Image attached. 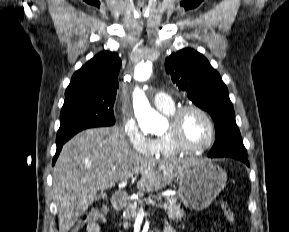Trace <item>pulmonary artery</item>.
<instances>
[{"instance_id":"1","label":"pulmonary artery","mask_w":289,"mask_h":232,"mask_svg":"<svg viewBox=\"0 0 289 232\" xmlns=\"http://www.w3.org/2000/svg\"><path fill=\"white\" fill-rule=\"evenodd\" d=\"M153 102L154 105L160 110L168 109L173 105L172 98L168 94L163 92L156 93Z\"/></svg>"}]
</instances>
